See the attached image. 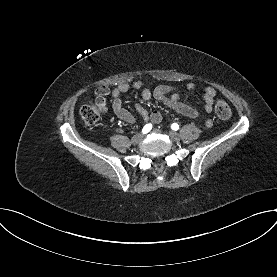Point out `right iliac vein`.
<instances>
[{"label": "right iliac vein", "instance_id": "right-iliac-vein-1", "mask_svg": "<svg viewBox=\"0 0 277 277\" xmlns=\"http://www.w3.org/2000/svg\"><path fill=\"white\" fill-rule=\"evenodd\" d=\"M143 137H144L143 134L138 133L132 137L131 141L133 144H138L142 141Z\"/></svg>", "mask_w": 277, "mask_h": 277}]
</instances>
